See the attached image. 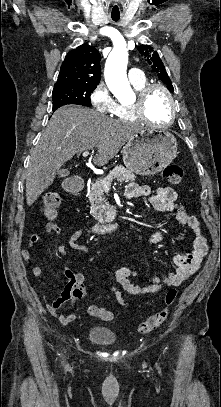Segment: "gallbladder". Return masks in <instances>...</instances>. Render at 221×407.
<instances>
[{"instance_id":"bac80fb5","label":"gallbladder","mask_w":221,"mask_h":407,"mask_svg":"<svg viewBox=\"0 0 221 407\" xmlns=\"http://www.w3.org/2000/svg\"><path fill=\"white\" fill-rule=\"evenodd\" d=\"M58 175L61 177L69 175V170L68 169H61L58 171Z\"/></svg>"}]
</instances>
